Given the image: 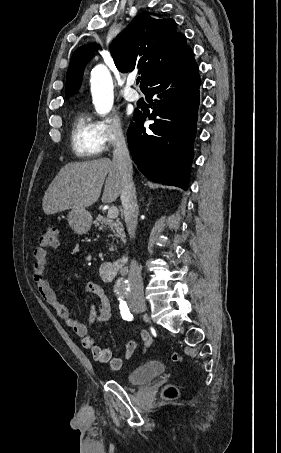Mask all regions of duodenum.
I'll return each instance as SVG.
<instances>
[{
    "mask_svg": "<svg viewBox=\"0 0 281 453\" xmlns=\"http://www.w3.org/2000/svg\"><path fill=\"white\" fill-rule=\"evenodd\" d=\"M127 256L123 255L114 261L104 262L100 267V275L104 281L110 282L125 270Z\"/></svg>",
    "mask_w": 281,
    "mask_h": 453,
    "instance_id": "1",
    "label": "duodenum"
}]
</instances>
